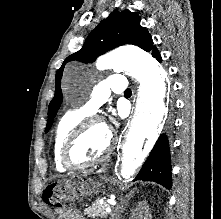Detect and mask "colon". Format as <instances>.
Segmentation results:
<instances>
[{
	"mask_svg": "<svg viewBox=\"0 0 221 219\" xmlns=\"http://www.w3.org/2000/svg\"><path fill=\"white\" fill-rule=\"evenodd\" d=\"M51 196L50 203L57 208L68 209L72 205V194L66 192L59 184L49 186L45 193V197Z\"/></svg>",
	"mask_w": 221,
	"mask_h": 219,
	"instance_id": "obj_1",
	"label": "colon"
}]
</instances>
